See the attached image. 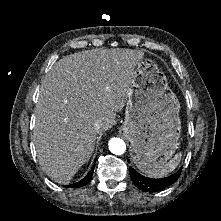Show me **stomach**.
I'll use <instances>...</instances> for the list:
<instances>
[{"label":"stomach","instance_id":"0dacf381","mask_svg":"<svg viewBox=\"0 0 221 221\" xmlns=\"http://www.w3.org/2000/svg\"><path fill=\"white\" fill-rule=\"evenodd\" d=\"M180 104L159 65L142 58L133 69L120 129L131 143L134 163L143 172L164 165L176 149L181 134Z\"/></svg>","mask_w":221,"mask_h":221}]
</instances>
